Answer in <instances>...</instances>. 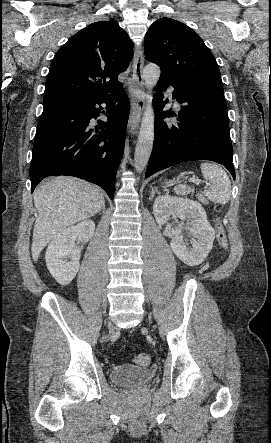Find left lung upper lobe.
Instances as JSON below:
<instances>
[{
	"label": "left lung upper lobe",
	"mask_w": 271,
	"mask_h": 443,
	"mask_svg": "<svg viewBox=\"0 0 271 443\" xmlns=\"http://www.w3.org/2000/svg\"><path fill=\"white\" fill-rule=\"evenodd\" d=\"M145 57L162 73L222 87L217 62L203 40L187 25L170 18L155 21L145 36Z\"/></svg>",
	"instance_id": "1"
}]
</instances>
